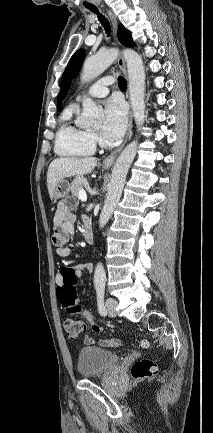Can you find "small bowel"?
I'll return each instance as SVG.
<instances>
[{"instance_id":"small-bowel-1","label":"small bowel","mask_w":213,"mask_h":433,"mask_svg":"<svg viewBox=\"0 0 213 433\" xmlns=\"http://www.w3.org/2000/svg\"><path fill=\"white\" fill-rule=\"evenodd\" d=\"M73 206V202L70 200H63L58 204L57 210L53 218L54 232L52 235V241L56 246V253L61 258H67L71 255L72 250L66 246V242L69 238L75 234L74 217L70 212V207ZM84 227L90 226L89 220L84 217ZM75 270L77 276H80L84 271L90 272L92 265L90 263H83L71 267ZM56 284L59 289L63 285V278L61 272L56 275ZM85 343L93 344L95 339L91 336L86 335L84 338ZM99 343L103 346L116 347L120 345V340L116 338L103 339Z\"/></svg>"}]
</instances>
